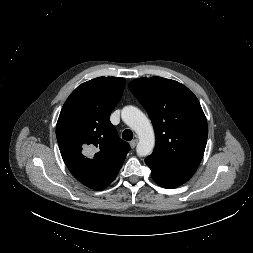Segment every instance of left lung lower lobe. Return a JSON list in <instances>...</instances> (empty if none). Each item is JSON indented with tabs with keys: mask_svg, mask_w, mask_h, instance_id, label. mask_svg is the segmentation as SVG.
I'll return each instance as SVG.
<instances>
[{
	"mask_svg": "<svg viewBox=\"0 0 253 253\" xmlns=\"http://www.w3.org/2000/svg\"><path fill=\"white\" fill-rule=\"evenodd\" d=\"M145 162L151 169L153 180L161 187L176 188L190 179L189 177L169 172L149 161L145 160Z\"/></svg>",
	"mask_w": 253,
	"mask_h": 253,
	"instance_id": "obj_1",
	"label": "left lung lower lobe"
}]
</instances>
